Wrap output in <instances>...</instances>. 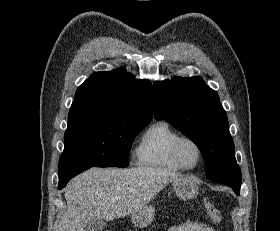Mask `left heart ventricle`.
Masks as SVG:
<instances>
[{"label": "left heart ventricle", "mask_w": 280, "mask_h": 231, "mask_svg": "<svg viewBox=\"0 0 280 231\" xmlns=\"http://www.w3.org/2000/svg\"><path fill=\"white\" fill-rule=\"evenodd\" d=\"M179 155L184 166L189 169H194L200 160V154L196 145L190 141H185L181 144Z\"/></svg>", "instance_id": "b2bd125f"}]
</instances>
